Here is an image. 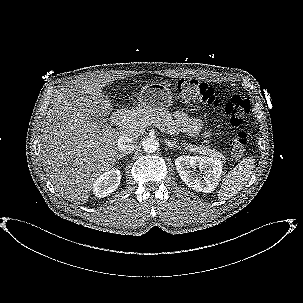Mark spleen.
Instances as JSON below:
<instances>
[{
    "label": "spleen",
    "instance_id": "3e777b00",
    "mask_svg": "<svg viewBox=\"0 0 303 303\" xmlns=\"http://www.w3.org/2000/svg\"><path fill=\"white\" fill-rule=\"evenodd\" d=\"M254 161L253 157L242 159L235 168L225 176L221 189L218 192V199L220 201L230 199L243 189L253 172Z\"/></svg>",
    "mask_w": 303,
    "mask_h": 303
}]
</instances>
